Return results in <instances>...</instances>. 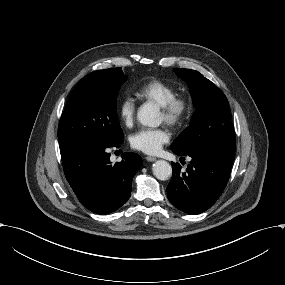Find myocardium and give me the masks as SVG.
I'll return each mask as SVG.
<instances>
[{
  "label": "myocardium",
  "instance_id": "myocardium-1",
  "mask_svg": "<svg viewBox=\"0 0 285 285\" xmlns=\"http://www.w3.org/2000/svg\"><path fill=\"white\" fill-rule=\"evenodd\" d=\"M164 122L177 126L188 116L191 109V98L186 92H175L165 103L160 105Z\"/></svg>",
  "mask_w": 285,
  "mask_h": 285
}]
</instances>
